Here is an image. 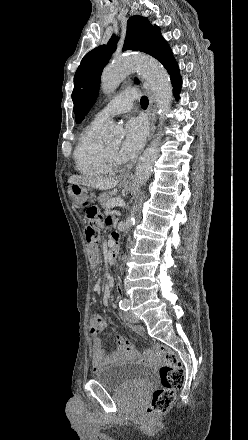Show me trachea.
I'll return each mask as SVG.
<instances>
[{"mask_svg":"<svg viewBox=\"0 0 248 440\" xmlns=\"http://www.w3.org/2000/svg\"><path fill=\"white\" fill-rule=\"evenodd\" d=\"M140 103H141V106L143 108H147L148 104H149V100H148V98L146 96H142L141 100H140Z\"/></svg>","mask_w":248,"mask_h":440,"instance_id":"3493384b","label":"trachea"}]
</instances>
